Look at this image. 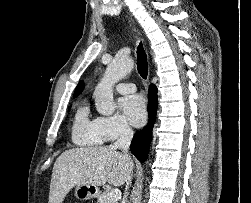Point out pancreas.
<instances>
[{"mask_svg": "<svg viewBox=\"0 0 251 203\" xmlns=\"http://www.w3.org/2000/svg\"><path fill=\"white\" fill-rule=\"evenodd\" d=\"M108 191H105L98 195L97 203H116L108 196Z\"/></svg>", "mask_w": 251, "mask_h": 203, "instance_id": "obj_1", "label": "pancreas"}]
</instances>
